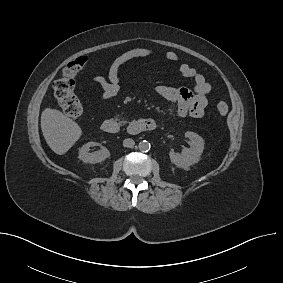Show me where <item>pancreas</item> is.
<instances>
[{"instance_id": "obj_1", "label": "pancreas", "mask_w": 283, "mask_h": 283, "mask_svg": "<svg viewBox=\"0 0 283 283\" xmlns=\"http://www.w3.org/2000/svg\"><path fill=\"white\" fill-rule=\"evenodd\" d=\"M127 121H125V120H122V121H120V123H122V124H125Z\"/></svg>"}]
</instances>
